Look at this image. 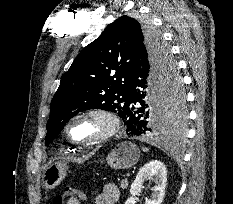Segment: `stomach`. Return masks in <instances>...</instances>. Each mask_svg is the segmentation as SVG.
Wrapping results in <instances>:
<instances>
[{
	"label": "stomach",
	"instance_id": "stomach-1",
	"mask_svg": "<svg viewBox=\"0 0 233 204\" xmlns=\"http://www.w3.org/2000/svg\"><path fill=\"white\" fill-rule=\"evenodd\" d=\"M140 158L139 148L131 142L118 144L106 157L107 164L113 169H128L133 167ZM67 166L62 162L48 165L42 176V186L53 189L66 177Z\"/></svg>",
	"mask_w": 233,
	"mask_h": 204
}]
</instances>
